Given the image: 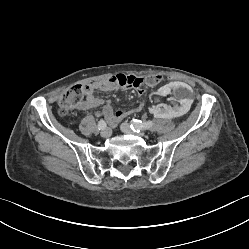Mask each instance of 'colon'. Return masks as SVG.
I'll use <instances>...</instances> for the list:
<instances>
[{
    "label": "colon",
    "instance_id": "obj_1",
    "mask_svg": "<svg viewBox=\"0 0 249 249\" xmlns=\"http://www.w3.org/2000/svg\"><path fill=\"white\" fill-rule=\"evenodd\" d=\"M165 76L161 74H156L153 76L145 75L140 78H130L129 85L133 88H136L137 96H145L147 94L146 88H141L143 84L152 86L161 80H164ZM85 97L84 86L74 85L66 90L60 100V112L62 114H68L71 111L75 110L83 102Z\"/></svg>",
    "mask_w": 249,
    "mask_h": 249
}]
</instances>
